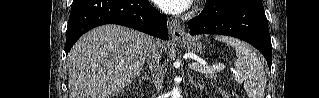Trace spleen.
<instances>
[{
    "instance_id": "3e777b00",
    "label": "spleen",
    "mask_w": 319,
    "mask_h": 98,
    "mask_svg": "<svg viewBox=\"0 0 319 98\" xmlns=\"http://www.w3.org/2000/svg\"><path fill=\"white\" fill-rule=\"evenodd\" d=\"M215 40L223 42L236 52L235 69L237 78L244 82V88L249 98H264L266 75L260 58L248 44L236 38L218 36Z\"/></svg>"
}]
</instances>
